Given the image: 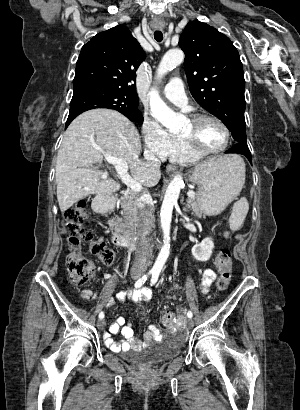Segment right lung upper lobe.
Returning a JSON list of instances; mask_svg holds the SVG:
<instances>
[{"instance_id":"cb5924a9","label":"right lung upper lobe","mask_w":300,"mask_h":410,"mask_svg":"<svg viewBox=\"0 0 300 410\" xmlns=\"http://www.w3.org/2000/svg\"><path fill=\"white\" fill-rule=\"evenodd\" d=\"M145 53L126 26L118 25L85 44L76 63L73 84L89 83L123 95L137 107L135 72Z\"/></svg>"}]
</instances>
